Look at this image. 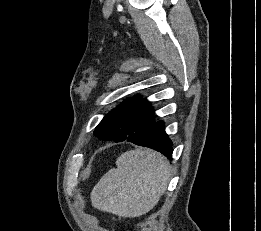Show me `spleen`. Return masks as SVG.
<instances>
[{
    "label": "spleen",
    "mask_w": 261,
    "mask_h": 231,
    "mask_svg": "<svg viewBox=\"0 0 261 231\" xmlns=\"http://www.w3.org/2000/svg\"><path fill=\"white\" fill-rule=\"evenodd\" d=\"M91 192L94 208L124 218L146 214L159 201L170 178L169 162L149 149L121 154Z\"/></svg>",
    "instance_id": "obj_1"
}]
</instances>
